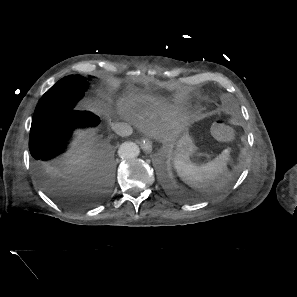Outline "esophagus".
Segmentation results:
<instances>
[{
  "label": "esophagus",
  "instance_id": "34e87169",
  "mask_svg": "<svg viewBox=\"0 0 297 297\" xmlns=\"http://www.w3.org/2000/svg\"><path fill=\"white\" fill-rule=\"evenodd\" d=\"M140 146L145 152H151L152 151V142L149 138H143L140 141Z\"/></svg>",
  "mask_w": 297,
  "mask_h": 297
}]
</instances>
